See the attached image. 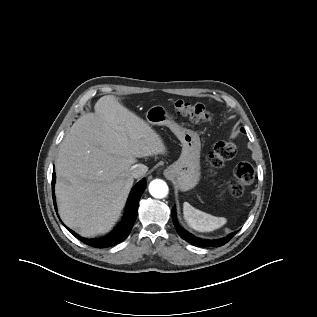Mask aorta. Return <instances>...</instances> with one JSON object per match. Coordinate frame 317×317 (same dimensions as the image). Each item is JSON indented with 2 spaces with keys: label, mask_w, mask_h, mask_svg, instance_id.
I'll return each mask as SVG.
<instances>
[{
  "label": "aorta",
  "mask_w": 317,
  "mask_h": 317,
  "mask_svg": "<svg viewBox=\"0 0 317 317\" xmlns=\"http://www.w3.org/2000/svg\"><path fill=\"white\" fill-rule=\"evenodd\" d=\"M168 185L161 179H154L149 184V193L157 199L165 198L168 195Z\"/></svg>",
  "instance_id": "obj_1"
}]
</instances>
